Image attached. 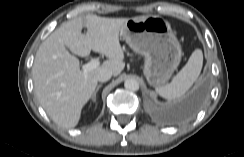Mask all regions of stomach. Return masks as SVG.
<instances>
[{
    "mask_svg": "<svg viewBox=\"0 0 244 157\" xmlns=\"http://www.w3.org/2000/svg\"><path fill=\"white\" fill-rule=\"evenodd\" d=\"M121 36L136 53L144 56V75L150 85H165L177 69L181 45L170 24L157 15L129 18Z\"/></svg>",
    "mask_w": 244,
    "mask_h": 157,
    "instance_id": "obj_1",
    "label": "stomach"
}]
</instances>
